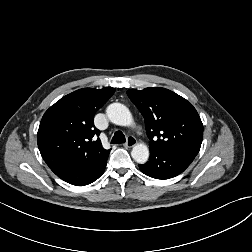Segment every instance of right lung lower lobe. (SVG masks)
I'll return each mask as SVG.
<instances>
[{"label":"right lung lower lobe","mask_w":252,"mask_h":252,"mask_svg":"<svg viewBox=\"0 0 252 252\" xmlns=\"http://www.w3.org/2000/svg\"><path fill=\"white\" fill-rule=\"evenodd\" d=\"M106 162L107 159L81 163L57 173L56 175L72 185H88L97 180L103 174Z\"/></svg>","instance_id":"obj_1"}]
</instances>
